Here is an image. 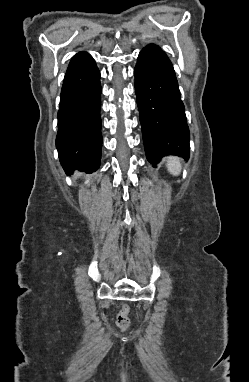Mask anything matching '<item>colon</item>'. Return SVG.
Wrapping results in <instances>:
<instances>
[{
	"label": "colon",
	"mask_w": 249,
	"mask_h": 382,
	"mask_svg": "<svg viewBox=\"0 0 249 382\" xmlns=\"http://www.w3.org/2000/svg\"><path fill=\"white\" fill-rule=\"evenodd\" d=\"M129 308L124 306L116 317V325L120 329H126L130 325V319L128 317Z\"/></svg>",
	"instance_id": "colon-1"
}]
</instances>
